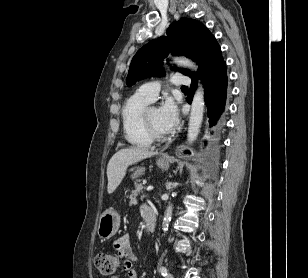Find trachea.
Masks as SVG:
<instances>
[{"label":"trachea","instance_id":"1","mask_svg":"<svg viewBox=\"0 0 308 278\" xmlns=\"http://www.w3.org/2000/svg\"><path fill=\"white\" fill-rule=\"evenodd\" d=\"M181 89H182V90H187V89H188V87L183 86Z\"/></svg>","mask_w":308,"mask_h":278}]
</instances>
